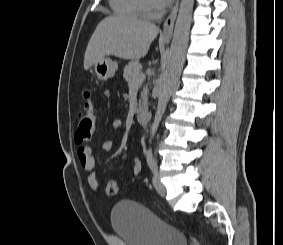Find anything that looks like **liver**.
Instances as JSON below:
<instances>
[{"mask_svg": "<svg viewBox=\"0 0 283 245\" xmlns=\"http://www.w3.org/2000/svg\"><path fill=\"white\" fill-rule=\"evenodd\" d=\"M159 33L153 23L125 16H110L96 27L87 45L84 69L105 56L134 60L144 57Z\"/></svg>", "mask_w": 283, "mask_h": 245, "instance_id": "liver-1", "label": "liver"}]
</instances>
